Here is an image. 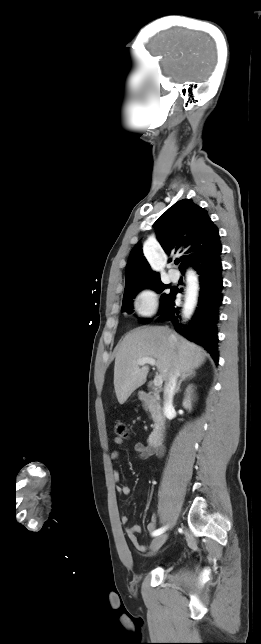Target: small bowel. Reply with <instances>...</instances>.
Returning a JSON list of instances; mask_svg holds the SVG:
<instances>
[{
    "mask_svg": "<svg viewBox=\"0 0 261 644\" xmlns=\"http://www.w3.org/2000/svg\"><path fill=\"white\" fill-rule=\"evenodd\" d=\"M114 443L116 445H121L123 443V439L116 437L114 439ZM134 451L140 459H146L152 456L153 454L158 453V451L155 448L145 445L143 443H136L134 445ZM111 458L113 460L119 459V452L117 450L113 451L111 454ZM113 479L116 483H119L120 473L118 470H114ZM117 490L120 494L124 496H128L131 493V488L127 485H119L117 487ZM120 520L122 524L126 525L129 521V518L127 515L123 514L120 517ZM156 527H157V516L153 514L150 522L147 525V529L150 533H153L156 530ZM125 532L129 541L138 551L145 552L147 550V546L141 544L138 540V534L141 532V526L139 524H133L127 527Z\"/></svg>",
    "mask_w": 261,
    "mask_h": 644,
    "instance_id": "c3829d8e",
    "label": "small bowel"
}]
</instances>
